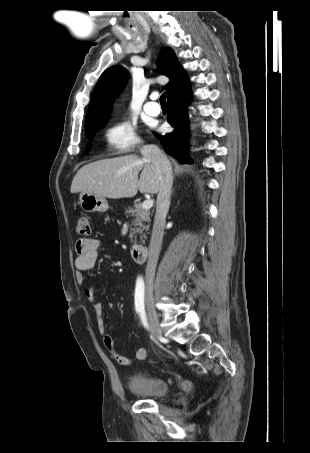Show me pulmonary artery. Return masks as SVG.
<instances>
[{
	"mask_svg": "<svg viewBox=\"0 0 310 453\" xmlns=\"http://www.w3.org/2000/svg\"><path fill=\"white\" fill-rule=\"evenodd\" d=\"M155 99H156V94H152L150 96L151 101L147 102L143 107L144 111L151 116H157L160 113V107L157 104H155L153 101Z\"/></svg>",
	"mask_w": 310,
	"mask_h": 453,
	"instance_id": "1",
	"label": "pulmonary artery"
}]
</instances>
